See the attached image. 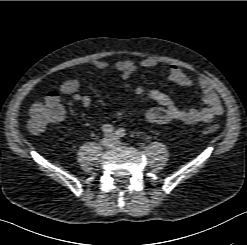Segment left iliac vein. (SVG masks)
Masks as SVG:
<instances>
[{
	"mask_svg": "<svg viewBox=\"0 0 247 245\" xmlns=\"http://www.w3.org/2000/svg\"><path fill=\"white\" fill-rule=\"evenodd\" d=\"M114 143H115V144H120V141L116 140Z\"/></svg>",
	"mask_w": 247,
	"mask_h": 245,
	"instance_id": "obj_1",
	"label": "left iliac vein"
}]
</instances>
